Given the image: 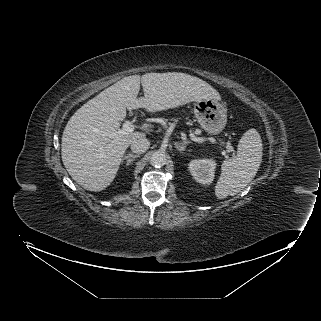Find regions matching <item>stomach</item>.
Returning <instances> with one entry per match:
<instances>
[{
	"label": "stomach",
	"mask_w": 321,
	"mask_h": 321,
	"mask_svg": "<svg viewBox=\"0 0 321 321\" xmlns=\"http://www.w3.org/2000/svg\"><path fill=\"white\" fill-rule=\"evenodd\" d=\"M194 113L201 127L209 134L220 133L227 122L226 108L214 98L196 101Z\"/></svg>",
	"instance_id": "obj_1"
}]
</instances>
